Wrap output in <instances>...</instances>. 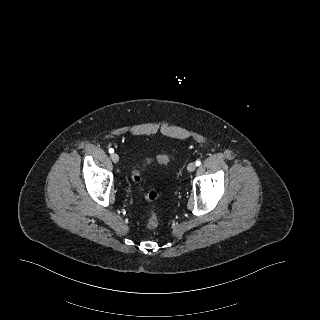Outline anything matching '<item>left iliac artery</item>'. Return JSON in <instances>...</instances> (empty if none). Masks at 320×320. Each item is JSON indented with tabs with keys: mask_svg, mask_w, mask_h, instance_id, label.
<instances>
[{
	"mask_svg": "<svg viewBox=\"0 0 320 320\" xmlns=\"http://www.w3.org/2000/svg\"><path fill=\"white\" fill-rule=\"evenodd\" d=\"M201 165V161L200 160H197L196 161V166H200Z\"/></svg>",
	"mask_w": 320,
	"mask_h": 320,
	"instance_id": "obj_1",
	"label": "left iliac artery"
}]
</instances>
